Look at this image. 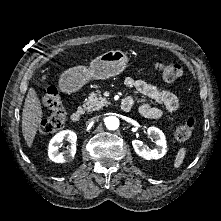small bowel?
<instances>
[{"label": "small bowel", "mask_w": 221, "mask_h": 221, "mask_svg": "<svg viewBox=\"0 0 221 221\" xmlns=\"http://www.w3.org/2000/svg\"><path fill=\"white\" fill-rule=\"evenodd\" d=\"M124 84L126 87L133 89L146 98L152 99L158 104L164 106L168 113H173L178 108V97L169 90L160 88L144 79H135L132 77H127L124 80ZM122 102L129 103L132 108L135 103V98L133 96H128L124 98ZM139 113L150 119H159L163 115V111L160 108L151 106L146 100H143L139 106Z\"/></svg>", "instance_id": "1"}]
</instances>
